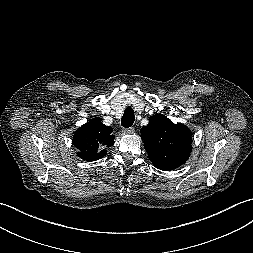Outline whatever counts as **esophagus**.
I'll use <instances>...</instances> for the list:
<instances>
[{
    "instance_id": "esophagus-1",
    "label": "esophagus",
    "mask_w": 253,
    "mask_h": 253,
    "mask_svg": "<svg viewBox=\"0 0 253 253\" xmlns=\"http://www.w3.org/2000/svg\"><path fill=\"white\" fill-rule=\"evenodd\" d=\"M122 132L124 134H132V133H134V128L133 127L123 128Z\"/></svg>"
}]
</instances>
